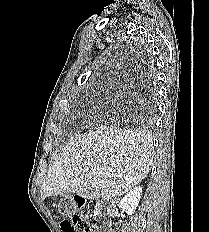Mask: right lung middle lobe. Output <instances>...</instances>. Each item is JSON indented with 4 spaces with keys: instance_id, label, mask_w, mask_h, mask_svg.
<instances>
[{
    "instance_id": "obj_1",
    "label": "right lung middle lobe",
    "mask_w": 209,
    "mask_h": 232,
    "mask_svg": "<svg viewBox=\"0 0 209 232\" xmlns=\"http://www.w3.org/2000/svg\"><path fill=\"white\" fill-rule=\"evenodd\" d=\"M148 83H147V88H146V96L143 101L142 105V115L144 118V124L146 127L153 126L154 122V111H155V99H156V90L155 87L152 83V77L149 76ZM151 84V85H150Z\"/></svg>"
}]
</instances>
